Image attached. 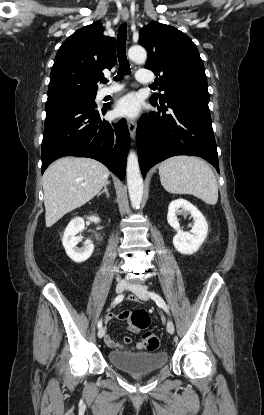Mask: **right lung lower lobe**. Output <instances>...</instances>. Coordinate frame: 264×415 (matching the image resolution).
Masks as SVG:
<instances>
[{"instance_id":"obj_1","label":"right lung lower lobe","mask_w":264,"mask_h":415,"mask_svg":"<svg viewBox=\"0 0 264 415\" xmlns=\"http://www.w3.org/2000/svg\"><path fill=\"white\" fill-rule=\"evenodd\" d=\"M108 107L70 104L46 109L42 140V174L64 156L89 157L102 162L121 180L125 178L130 136L126 120L101 118Z\"/></svg>"}]
</instances>
